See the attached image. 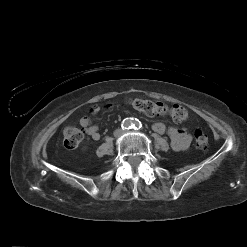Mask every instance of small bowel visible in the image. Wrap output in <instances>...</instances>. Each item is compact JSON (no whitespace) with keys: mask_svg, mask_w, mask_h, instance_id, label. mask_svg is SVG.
Instances as JSON below:
<instances>
[{"mask_svg":"<svg viewBox=\"0 0 247 247\" xmlns=\"http://www.w3.org/2000/svg\"><path fill=\"white\" fill-rule=\"evenodd\" d=\"M99 111L100 107L98 105H94L89 109L90 115H95ZM79 123L93 140L100 139L99 128L92 122L89 116L82 117ZM152 128L158 134L167 133L171 141V146L175 151L185 150L191 143V135L184 128H178L176 126L167 127L161 122L154 123Z\"/></svg>","mask_w":247,"mask_h":247,"instance_id":"c3829d8e","label":"small bowel"}]
</instances>
